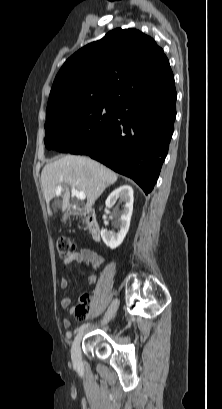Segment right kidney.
Returning <instances> with one entry per match:
<instances>
[{"label":"right kidney","mask_w":222,"mask_h":409,"mask_svg":"<svg viewBox=\"0 0 222 409\" xmlns=\"http://www.w3.org/2000/svg\"><path fill=\"white\" fill-rule=\"evenodd\" d=\"M125 203L124 208L119 212L120 219L118 225L120 230L118 233L108 231L107 229L101 230V237L106 246L111 249L117 248L124 240L130 227V220L133 211L134 191L129 185H123L115 189L107 198L105 204L107 207H111L117 200ZM105 219L106 216L104 215Z\"/></svg>","instance_id":"obj_1"}]
</instances>
